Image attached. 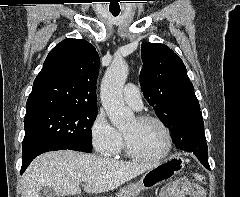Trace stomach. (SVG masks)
<instances>
[{"mask_svg": "<svg viewBox=\"0 0 240 197\" xmlns=\"http://www.w3.org/2000/svg\"><path fill=\"white\" fill-rule=\"evenodd\" d=\"M184 163L185 159L181 156L169 157L163 163L147 170L138 182L121 188L117 197H138L141 191L154 188L165 180L173 178L182 170Z\"/></svg>", "mask_w": 240, "mask_h": 197, "instance_id": "0dacf381", "label": "stomach"}]
</instances>
